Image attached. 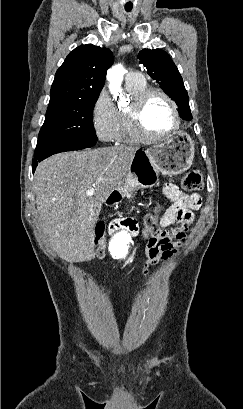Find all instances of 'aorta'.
<instances>
[{
    "label": "aorta",
    "instance_id": "762f6f07",
    "mask_svg": "<svg viewBox=\"0 0 243 409\" xmlns=\"http://www.w3.org/2000/svg\"><path fill=\"white\" fill-rule=\"evenodd\" d=\"M123 65L117 64L107 72V79L109 81V89L114 97L122 96L121 84L125 74ZM131 237L125 230H120L112 236L110 242V250L113 254L122 255L129 247Z\"/></svg>",
    "mask_w": 243,
    "mask_h": 409
}]
</instances>
